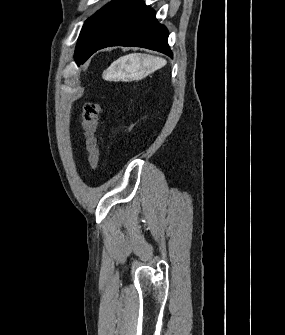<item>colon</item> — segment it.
<instances>
[{"mask_svg":"<svg viewBox=\"0 0 285 335\" xmlns=\"http://www.w3.org/2000/svg\"><path fill=\"white\" fill-rule=\"evenodd\" d=\"M100 111L101 104L97 101H90L84 104L81 113L89 163L93 172L98 170L100 160V153L96 138L97 123Z\"/></svg>","mask_w":285,"mask_h":335,"instance_id":"colon-1","label":"colon"}]
</instances>
